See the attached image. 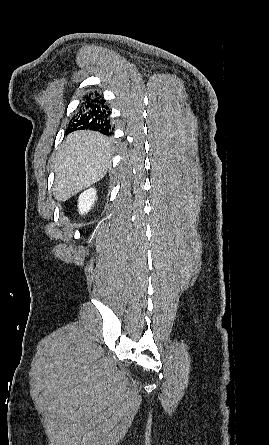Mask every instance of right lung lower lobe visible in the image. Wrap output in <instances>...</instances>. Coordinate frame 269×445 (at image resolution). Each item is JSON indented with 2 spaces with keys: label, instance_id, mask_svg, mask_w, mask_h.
<instances>
[{
  "label": "right lung lower lobe",
  "instance_id": "98d812e1",
  "mask_svg": "<svg viewBox=\"0 0 269 445\" xmlns=\"http://www.w3.org/2000/svg\"><path fill=\"white\" fill-rule=\"evenodd\" d=\"M111 112L105 105V100L99 94H88L84 96L82 105L73 120L69 122L66 133L76 130H93L109 136L113 134L109 115Z\"/></svg>",
  "mask_w": 269,
  "mask_h": 445
}]
</instances>
